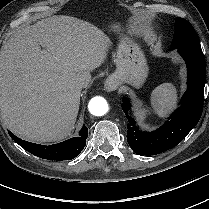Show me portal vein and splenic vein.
<instances>
[{"label":"portal vein and splenic vein","mask_w":209,"mask_h":209,"mask_svg":"<svg viewBox=\"0 0 209 209\" xmlns=\"http://www.w3.org/2000/svg\"><path fill=\"white\" fill-rule=\"evenodd\" d=\"M42 52L48 57V58H52V55L47 51V50H42Z\"/></svg>","instance_id":"obj_1"}]
</instances>
